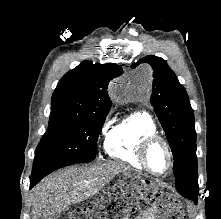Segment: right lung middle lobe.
Listing matches in <instances>:
<instances>
[{
  "label": "right lung middle lobe",
  "mask_w": 221,
  "mask_h": 219,
  "mask_svg": "<svg viewBox=\"0 0 221 219\" xmlns=\"http://www.w3.org/2000/svg\"><path fill=\"white\" fill-rule=\"evenodd\" d=\"M108 111L80 114L52 110L48 130L35 151V158L50 155L73 163L95 159L98 135Z\"/></svg>",
  "instance_id": "1"
}]
</instances>
